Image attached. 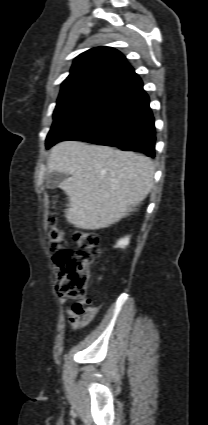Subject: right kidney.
I'll use <instances>...</instances> for the list:
<instances>
[{
  "label": "right kidney",
  "mask_w": 208,
  "mask_h": 425,
  "mask_svg": "<svg viewBox=\"0 0 208 425\" xmlns=\"http://www.w3.org/2000/svg\"><path fill=\"white\" fill-rule=\"evenodd\" d=\"M129 240H130L129 236H127V237H125V238L120 239V240L117 242L116 247H119V248H125V247L129 244Z\"/></svg>",
  "instance_id": "obj_1"
}]
</instances>
